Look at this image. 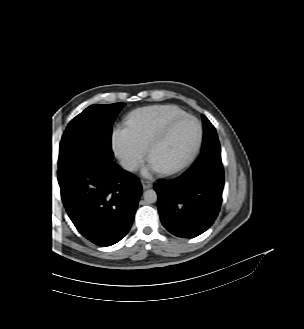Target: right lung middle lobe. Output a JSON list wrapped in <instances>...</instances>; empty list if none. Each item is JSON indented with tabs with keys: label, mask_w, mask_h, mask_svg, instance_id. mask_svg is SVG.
Segmentation results:
<instances>
[{
	"label": "right lung middle lobe",
	"mask_w": 304,
	"mask_h": 329,
	"mask_svg": "<svg viewBox=\"0 0 304 329\" xmlns=\"http://www.w3.org/2000/svg\"><path fill=\"white\" fill-rule=\"evenodd\" d=\"M124 105H91L77 115L62 136L59 169L80 162L112 163V124Z\"/></svg>",
	"instance_id": "obj_1"
}]
</instances>
